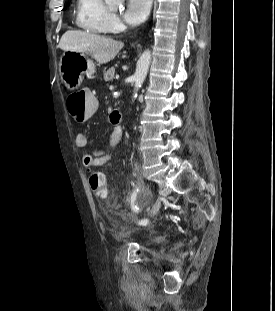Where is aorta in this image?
I'll return each mask as SVG.
<instances>
[{
    "instance_id": "obj_1",
    "label": "aorta",
    "mask_w": 275,
    "mask_h": 311,
    "mask_svg": "<svg viewBox=\"0 0 275 311\" xmlns=\"http://www.w3.org/2000/svg\"><path fill=\"white\" fill-rule=\"evenodd\" d=\"M105 1L107 4L112 6L121 5L124 2V0H105ZM150 62H151V51L145 50L137 62L136 71L133 76L134 79L133 98L137 97V91L141 88L146 78Z\"/></svg>"
}]
</instances>
